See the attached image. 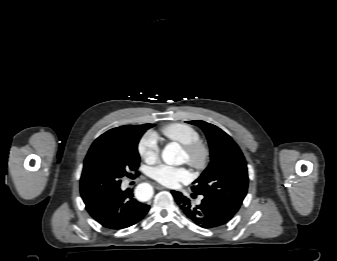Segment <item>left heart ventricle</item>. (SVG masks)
<instances>
[{"instance_id": "b2bd125f", "label": "left heart ventricle", "mask_w": 337, "mask_h": 261, "mask_svg": "<svg viewBox=\"0 0 337 261\" xmlns=\"http://www.w3.org/2000/svg\"><path fill=\"white\" fill-rule=\"evenodd\" d=\"M182 159H183L184 162L187 161V154L185 153V151H183Z\"/></svg>"}]
</instances>
